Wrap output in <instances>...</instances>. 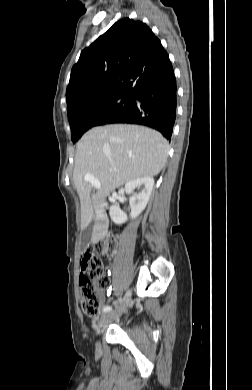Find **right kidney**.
Instances as JSON below:
<instances>
[{
    "label": "right kidney",
    "mask_w": 252,
    "mask_h": 390,
    "mask_svg": "<svg viewBox=\"0 0 252 390\" xmlns=\"http://www.w3.org/2000/svg\"><path fill=\"white\" fill-rule=\"evenodd\" d=\"M154 186V179L151 176L140 177L125 184L124 189L119 191L120 195L124 193L132 194L129 199L131 209V218H136L145 208L150 198ZM136 188H141V192L134 194ZM110 217L115 224H123L127 221V215L120 209L119 204H113L110 207Z\"/></svg>",
    "instance_id": "right-kidney-1"
}]
</instances>
